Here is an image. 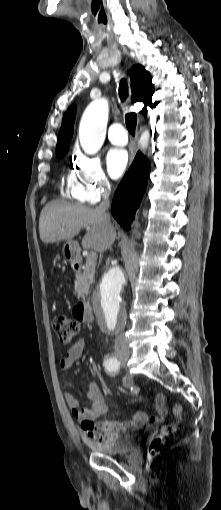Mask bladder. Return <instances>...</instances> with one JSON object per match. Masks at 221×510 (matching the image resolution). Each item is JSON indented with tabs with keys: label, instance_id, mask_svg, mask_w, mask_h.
I'll use <instances>...</instances> for the list:
<instances>
[{
	"label": "bladder",
	"instance_id": "bladder-1",
	"mask_svg": "<svg viewBox=\"0 0 221 510\" xmlns=\"http://www.w3.org/2000/svg\"><path fill=\"white\" fill-rule=\"evenodd\" d=\"M136 445L134 435H125L111 442L96 443L90 442L89 447L97 452L108 456H118L132 451Z\"/></svg>",
	"mask_w": 221,
	"mask_h": 510
}]
</instances>
